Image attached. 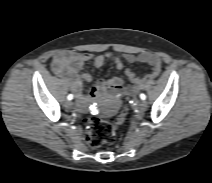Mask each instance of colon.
Wrapping results in <instances>:
<instances>
[{
  "label": "colon",
  "mask_w": 212,
  "mask_h": 183,
  "mask_svg": "<svg viewBox=\"0 0 212 183\" xmlns=\"http://www.w3.org/2000/svg\"><path fill=\"white\" fill-rule=\"evenodd\" d=\"M128 118V108L125 106L121 112L112 120L101 118H90L86 120V140L93 148H98L105 144H112L116 138V131L126 123Z\"/></svg>",
  "instance_id": "5ec220e1"
}]
</instances>
